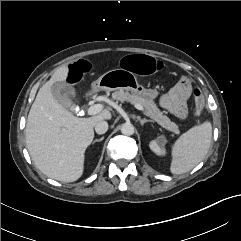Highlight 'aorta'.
I'll return each instance as SVG.
<instances>
[{
  "label": "aorta",
  "instance_id": "aorta-1",
  "mask_svg": "<svg viewBox=\"0 0 241 241\" xmlns=\"http://www.w3.org/2000/svg\"><path fill=\"white\" fill-rule=\"evenodd\" d=\"M121 133L127 136L134 134V126L131 123H124L121 126Z\"/></svg>",
  "mask_w": 241,
  "mask_h": 241
}]
</instances>
